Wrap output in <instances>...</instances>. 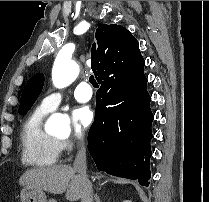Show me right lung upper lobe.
I'll return each instance as SVG.
<instances>
[{"label": "right lung upper lobe", "mask_w": 209, "mask_h": 202, "mask_svg": "<svg viewBox=\"0 0 209 202\" xmlns=\"http://www.w3.org/2000/svg\"><path fill=\"white\" fill-rule=\"evenodd\" d=\"M95 37L91 68L102 88L125 87L144 73L139 44L125 27L99 24Z\"/></svg>", "instance_id": "obj_1"}]
</instances>
